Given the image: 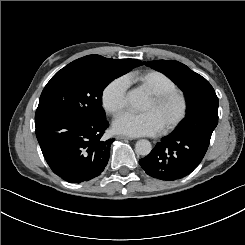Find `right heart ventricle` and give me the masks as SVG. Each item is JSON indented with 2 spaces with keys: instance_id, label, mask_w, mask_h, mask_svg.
I'll return each instance as SVG.
<instances>
[{
  "instance_id": "e07e8e85",
  "label": "right heart ventricle",
  "mask_w": 245,
  "mask_h": 245,
  "mask_svg": "<svg viewBox=\"0 0 245 245\" xmlns=\"http://www.w3.org/2000/svg\"><path fill=\"white\" fill-rule=\"evenodd\" d=\"M127 86H137L146 90L177 89L175 82L161 71L153 69H135L122 77Z\"/></svg>"
}]
</instances>
